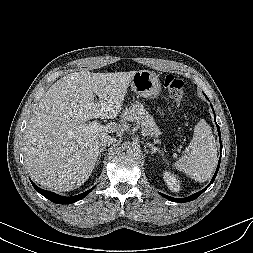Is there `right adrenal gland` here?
Listing matches in <instances>:
<instances>
[{
	"label": "right adrenal gland",
	"mask_w": 253,
	"mask_h": 253,
	"mask_svg": "<svg viewBox=\"0 0 253 253\" xmlns=\"http://www.w3.org/2000/svg\"><path fill=\"white\" fill-rule=\"evenodd\" d=\"M105 149H106V147H105V146L99 149V156H98V160H97L96 165H98V164H99V161H100L101 155H102V153H103V151H104Z\"/></svg>",
	"instance_id": "obj_1"
}]
</instances>
